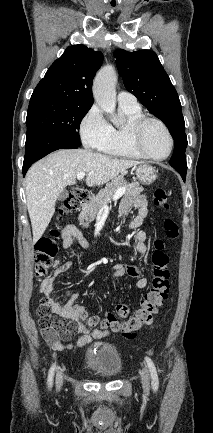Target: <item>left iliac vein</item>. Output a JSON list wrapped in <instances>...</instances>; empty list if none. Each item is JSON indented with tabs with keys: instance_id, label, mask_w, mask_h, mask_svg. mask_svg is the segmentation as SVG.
<instances>
[{
	"instance_id": "left-iliac-vein-1",
	"label": "left iliac vein",
	"mask_w": 213,
	"mask_h": 433,
	"mask_svg": "<svg viewBox=\"0 0 213 433\" xmlns=\"http://www.w3.org/2000/svg\"><path fill=\"white\" fill-rule=\"evenodd\" d=\"M149 380V372L146 368H143V370L141 371V381L145 394H148L149 391Z\"/></svg>"
}]
</instances>
